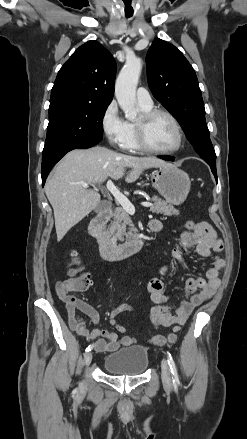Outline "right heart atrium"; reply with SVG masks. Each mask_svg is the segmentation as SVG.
<instances>
[{
  "instance_id": "1",
  "label": "right heart atrium",
  "mask_w": 247,
  "mask_h": 439,
  "mask_svg": "<svg viewBox=\"0 0 247 439\" xmlns=\"http://www.w3.org/2000/svg\"><path fill=\"white\" fill-rule=\"evenodd\" d=\"M100 125L108 143L114 147H122L127 133V125L120 115L115 101L110 102L104 109Z\"/></svg>"
}]
</instances>
